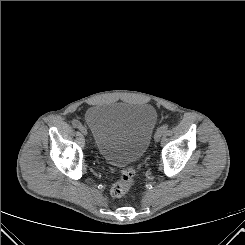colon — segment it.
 I'll return each instance as SVG.
<instances>
[{
	"instance_id": "obj_1",
	"label": "colon",
	"mask_w": 245,
	"mask_h": 245,
	"mask_svg": "<svg viewBox=\"0 0 245 245\" xmlns=\"http://www.w3.org/2000/svg\"><path fill=\"white\" fill-rule=\"evenodd\" d=\"M135 175L136 170L133 167L123 169L120 180L115 182L110 189L111 196L113 198L125 196L134 184Z\"/></svg>"
}]
</instances>
